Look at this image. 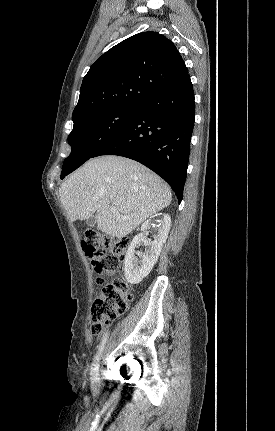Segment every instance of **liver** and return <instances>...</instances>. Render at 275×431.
Listing matches in <instances>:
<instances>
[{
	"instance_id": "obj_1",
	"label": "liver",
	"mask_w": 275,
	"mask_h": 431,
	"mask_svg": "<svg viewBox=\"0 0 275 431\" xmlns=\"http://www.w3.org/2000/svg\"><path fill=\"white\" fill-rule=\"evenodd\" d=\"M59 196L72 222L97 212L98 229L117 238L131 233L172 200L169 186L157 174L115 155L86 162L61 184Z\"/></svg>"
}]
</instances>
